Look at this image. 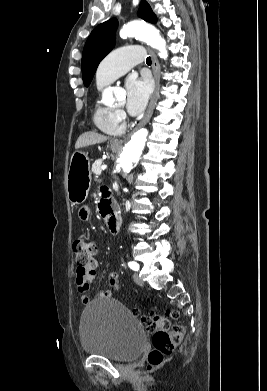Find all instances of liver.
<instances>
[{
  "label": "liver",
  "mask_w": 267,
  "mask_h": 391,
  "mask_svg": "<svg viewBox=\"0 0 267 391\" xmlns=\"http://www.w3.org/2000/svg\"><path fill=\"white\" fill-rule=\"evenodd\" d=\"M108 139L107 136L96 133V132H85L79 136L75 143V148H83L95 144H100L105 142Z\"/></svg>",
  "instance_id": "liver-1"
}]
</instances>
